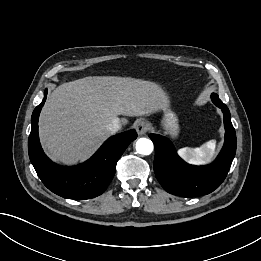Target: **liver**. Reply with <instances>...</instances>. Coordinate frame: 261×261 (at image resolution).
Wrapping results in <instances>:
<instances>
[{
	"label": "liver",
	"mask_w": 261,
	"mask_h": 261,
	"mask_svg": "<svg viewBox=\"0 0 261 261\" xmlns=\"http://www.w3.org/2000/svg\"><path fill=\"white\" fill-rule=\"evenodd\" d=\"M167 106L166 92L150 81L90 76L66 82L41 111L40 141L52 160L73 165L89 158L111 135L106 126L113 119L148 116ZM120 121L127 124L125 118Z\"/></svg>",
	"instance_id": "1"
}]
</instances>
